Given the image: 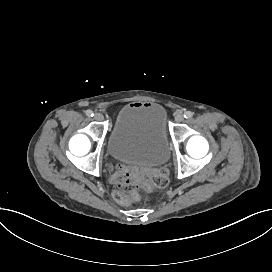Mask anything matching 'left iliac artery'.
I'll use <instances>...</instances> for the list:
<instances>
[{
    "label": "left iliac artery",
    "instance_id": "obj_1",
    "mask_svg": "<svg viewBox=\"0 0 272 272\" xmlns=\"http://www.w3.org/2000/svg\"><path fill=\"white\" fill-rule=\"evenodd\" d=\"M184 117H185L186 119H189V118L193 117V112H191V111H186V112L184 113Z\"/></svg>",
    "mask_w": 272,
    "mask_h": 272
}]
</instances>
